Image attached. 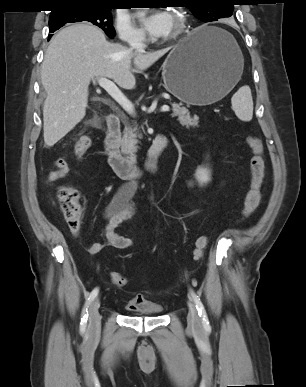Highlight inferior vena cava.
Wrapping results in <instances>:
<instances>
[{"instance_id":"1","label":"inferior vena cava","mask_w":306,"mask_h":387,"mask_svg":"<svg viewBox=\"0 0 306 387\" xmlns=\"http://www.w3.org/2000/svg\"><path fill=\"white\" fill-rule=\"evenodd\" d=\"M131 49H135L138 51H143L146 47L145 44L141 40H133L130 42Z\"/></svg>"}]
</instances>
